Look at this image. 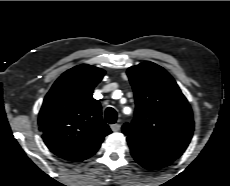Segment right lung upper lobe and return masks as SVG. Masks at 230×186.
<instances>
[{
	"mask_svg": "<svg viewBox=\"0 0 230 186\" xmlns=\"http://www.w3.org/2000/svg\"><path fill=\"white\" fill-rule=\"evenodd\" d=\"M105 71L82 64L64 72L47 93L38 124L47 147L70 161L92 156L111 133L101 117V106L93 89Z\"/></svg>",
	"mask_w": 230,
	"mask_h": 186,
	"instance_id": "right-lung-upper-lobe-1",
	"label": "right lung upper lobe"
}]
</instances>
